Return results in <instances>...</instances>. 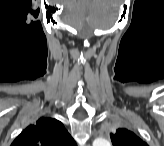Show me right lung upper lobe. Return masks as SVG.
<instances>
[{"label": "right lung upper lobe", "instance_id": "right-lung-upper-lobe-1", "mask_svg": "<svg viewBox=\"0 0 164 146\" xmlns=\"http://www.w3.org/2000/svg\"><path fill=\"white\" fill-rule=\"evenodd\" d=\"M75 141L63 124L52 118H41L28 126L11 146H74Z\"/></svg>", "mask_w": 164, "mask_h": 146}]
</instances>
